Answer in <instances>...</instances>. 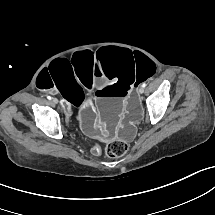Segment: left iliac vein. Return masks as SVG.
Instances as JSON below:
<instances>
[{
    "label": "left iliac vein",
    "instance_id": "obj_1",
    "mask_svg": "<svg viewBox=\"0 0 215 215\" xmlns=\"http://www.w3.org/2000/svg\"><path fill=\"white\" fill-rule=\"evenodd\" d=\"M138 92H139L140 94H142V93L144 92V87H143L142 85H140V86L138 87Z\"/></svg>",
    "mask_w": 215,
    "mask_h": 215
}]
</instances>
